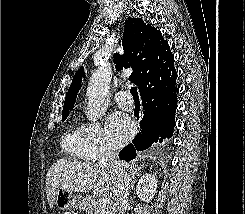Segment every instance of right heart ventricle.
<instances>
[{
    "instance_id": "e07e8e85",
    "label": "right heart ventricle",
    "mask_w": 245,
    "mask_h": 214,
    "mask_svg": "<svg viewBox=\"0 0 245 214\" xmlns=\"http://www.w3.org/2000/svg\"><path fill=\"white\" fill-rule=\"evenodd\" d=\"M61 146L65 153L74 158H84L82 152L79 127H70L61 138Z\"/></svg>"
}]
</instances>
